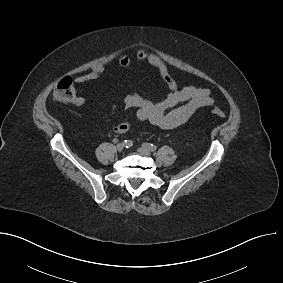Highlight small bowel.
<instances>
[{
	"instance_id": "c3829d8e",
	"label": "small bowel",
	"mask_w": 283,
	"mask_h": 283,
	"mask_svg": "<svg viewBox=\"0 0 283 283\" xmlns=\"http://www.w3.org/2000/svg\"><path fill=\"white\" fill-rule=\"evenodd\" d=\"M134 58L154 68L169 89L165 98L159 102H152L135 92L126 94L123 99L124 105L127 109H134L136 119L148 121L162 129H172L186 123L200 108L214 103L207 88L195 86L179 88L166 63L157 54L146 49H138ZM118 63L124 69H133V61L126 54L118 58ZM104 74L105 68L99 65L93 67L89 73L76 76L74 80L80 84L94 82L101 80ZM73 103L77 106L83 105L85 98L78 96ZM130 125L129 120H124L117 124L113 131L116 134H124L130 129Z\"/></svg>"
}]
</instances>
